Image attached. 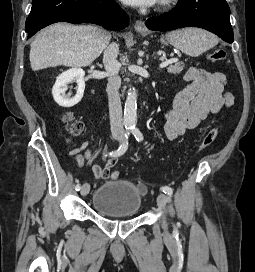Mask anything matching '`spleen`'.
I'll return each mask as SVG.
<instances>
[{"instance_id": "spleen-1", "label": "spleen", "mask_w": 255, "mask_h": 272, "mask_svg": "<svg viewBox=\"0 0 255 272\" xmlns=\"http://www.w3.org/2000/svg\"><path fill=\"white\" fill-rule=\"evenodd\" d=\"M166 40L186 55L197 57L212 48L218 39L211 33L200 28H185L170 31Z\"/></svg>"}]
</instances>
